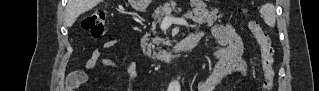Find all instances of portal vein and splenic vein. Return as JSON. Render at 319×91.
Instances as JSON below:
<instances>
[{"label":"portal vein and splenic vein","mask_w":319,"mask_h":91,"mask_svg":"<svg viewBox=\"0 0 319 91\" xmlns=\"http://www.w3.org/2000/svg\"><path fill=\"white\" fill-rule=\"evenodd\" d=\"M163 20L165 22H168L170 24L174 23V24H186V21L183 19H178V18H174L173 16H171L170 14L166 15Z\"/></svg>","instance_id":"18ae733b"}]
</instances>
